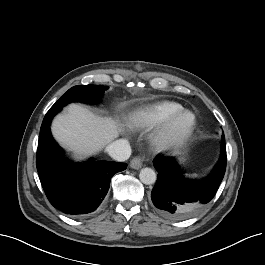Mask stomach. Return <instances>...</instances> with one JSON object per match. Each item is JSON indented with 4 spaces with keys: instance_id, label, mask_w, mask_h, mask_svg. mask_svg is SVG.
Here are the masks:
<instances>
[{
    "instance_id": "stomach-1",
    "label": "stomach",
    "mask_w": 265,
    "mask_h": 265,
    "mask_svg": "<svg viewBox=\"0 0 265 265\" xmlns=\"http://www.w3.org/2000/svg\"><path fill=\"white\" fill-rule=\"evenodd\" d=\"M181 162H185V158H181Z\"/></svg>"
}]
</instances>
